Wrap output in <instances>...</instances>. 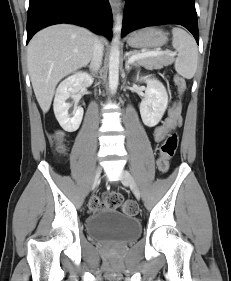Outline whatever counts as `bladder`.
Returning a JSON list of instances; mask_svg holds the SVG:
<instances>
[{
	"label": "bladder",
	"mask_w": 231,
	"mask_h": 281,
	"mask_svg": "<svg viewBox=\"0 0 231 281\" xmlns=\"http://www.w3.org/2000/svg\"><path fill=\"white\" fill-rule=\"evenodd\" d=\"M86 232L100 241L128 242L139 236L141 224L135 217L112 208H102L88 216Z\"/></svg>",
	"instance_id": "bladder-1"
}]
</instances>
